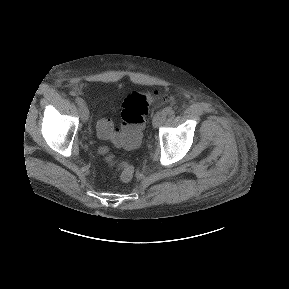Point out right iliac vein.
Returning a JSON list of instances; mask_svg holds the SVG:
<instances>
[{
    "label": "right iliac vein",
    "mask_w": 289,
    "mask_h": 289,
    "mask_svg": "<svg viewBox=\"0 0 289 289\" xmlns=\"http://www.w3.org/2000/svg\"><path fill=\"white\" fill-rule=\"evenodd\" d=\"M80 110V116H81V120L83 122H86L89 118V110L88 107L86 106V104L84 103L83 105H80L79 107Z\"/></svg>",
    "instance_id": "right-iliac-vein-1"
}]
</instances>
